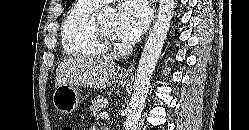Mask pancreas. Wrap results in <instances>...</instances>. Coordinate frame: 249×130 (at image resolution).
Instances as JSON below:
<instances>
[{
  "mask_svg": "<svg viewBox=\"0 0 249 130\" xmlns=\"http://www.w3.org/2000/svg\"><path fill=\"white\" fill-rule=\"evenodd\" d=\"M106 107L105 98L98 96L94 100H92V104L90 106L91 111L93 112V116L95 118H99L100 111Z\"/></svg>",
  "mask_w": 249,
  "mask_h": 130,
  "instance_id": "obj_1",
  "label": "pancreas"
}]
</instances>
